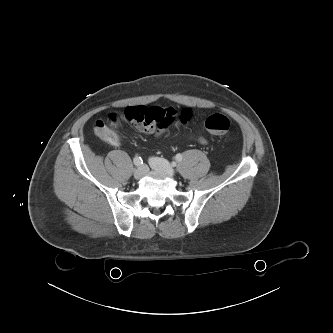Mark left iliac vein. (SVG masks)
I'll return each mask as SVG.
<instances>
[{
	"mask_svg": "<svg viewBox=\"0 0 333 333\" xmlns=\"http://www.w3.org/2000/svg\"><path fill=\"white\" fill-rule=\"evenodd\" d=\"M149 164L152 169L161 171L168 176L172 177L174 176V169L173 167L164 159L161 158H151L149 161Z\"/></svg>",
	"mask_w": 333,
	"mask_h": 333,
	"instance_id": "obj_1",
	"label": "left iliac vein"
}]
</instances>
